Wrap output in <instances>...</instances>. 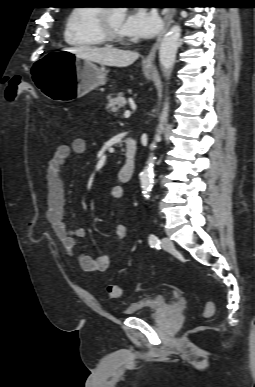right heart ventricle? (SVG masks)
Listing matches in <instances>:
<instances>
[{
    "label": "right heart ventricle",
    "instance_id": "1",
    "mask_svg": "<svg viewBox=\"0 0 255 387\" xmlns=\"http://www.w3.org/2000/svg\"><path fill=\"white\" fill-rule=\"evenodd\" d=\"M99 10L94 6H77L70 11L64 28L67 44L77 48H93L106 43L98 29Z\"/></svg>",
    "mask_w": 255,
    "mask_h": 387
}]
</instances>
